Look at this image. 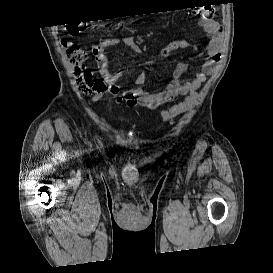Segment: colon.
Segmentation results:
<instances>
[{
    "label": "colon",
    "instance_id": "1",
    "mask_svg": "<svg viewBox=\"0 0 273 273\" xmlns=\"http://www.w3.org/2000/svg\"><path fill=\"white\" fill-rule=\"evenodd\" d=\"M83 28L70 26V35H77ZM60 46L65 56L66 62L71 68V72L76 81L78 92L84 97L95 98L105 90V84L100 79L95 78L93 72L86 66L88 54L79 44L69 37H63ZM193 96L175 104L162 112L165 121L172 120L179 114L185 112L191 105Z\"/></svg>",
    "mask_w": 273,
    "mask_h": 273
}]
</instances>
